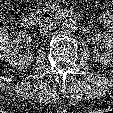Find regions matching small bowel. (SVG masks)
<instances>
[{
    "mask_svg": "<svg viewBox=\"0 0 113 113\" xmlns=\"http://www.w3.org/2000/svg\"><path fill=\"white\" fill-rule=\"evenodd\" d=\"M113 4V0H110ZM100 21L111 31L113 32V14L104 13L100 16Z\"/></svg>",
    "mask_w": 113,
    "mask_h": 113,
    "instance_id": "small-bowel-1",
    "label": "small bowel"
}]
</instances>
